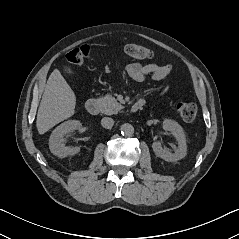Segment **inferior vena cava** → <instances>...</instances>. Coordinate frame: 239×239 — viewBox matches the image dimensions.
<instances>
[{"instance_id": "602c4592", "label": "inferior vena cava", "mask_w": 239, "mask_h": 239, "mask_svg": "<svg viewBox=\"0 0 239 239\" xmlns=\"http://www.w3.org/2000/svg\"><path fill=\"white\" fill-rule=\"evenodd\" d=\"M101 125H102V127L106 128V129H110L114 125V120L110 117H104L101 120Z\"/></svg>"}]
</instances>
